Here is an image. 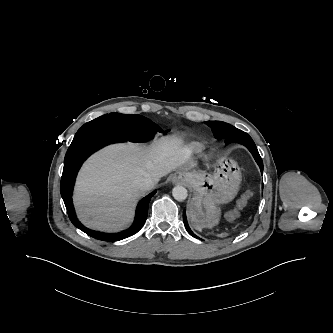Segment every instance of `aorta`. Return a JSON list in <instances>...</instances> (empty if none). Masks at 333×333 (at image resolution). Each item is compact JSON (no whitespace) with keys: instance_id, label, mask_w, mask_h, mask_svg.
Segmentation results:
<instances>
[{"instance_id":"762f6f07","label":"aorta","mask_w":333,"mask_h":333,"mask_svg":"<svg viewBox=\"0 0 333 333\" xmlns=\"http://www.w3.org/2000/svg\"><path fill=\"white\" fill-rule=\"evenodd\" d=\"M172 195L177 201H183L187 198V189L181 185H177L173 188Z\"/></svg>"}]
</instances>
